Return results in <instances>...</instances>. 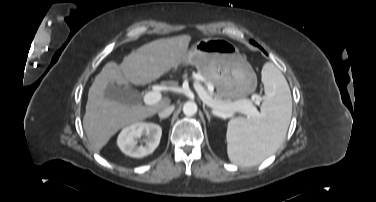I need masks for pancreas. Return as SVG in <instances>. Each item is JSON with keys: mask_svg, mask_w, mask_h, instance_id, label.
I'll use <instances>...</instances> for the list:
<instances>
[{"mask_svg": "<svg viewBox=\"0 0 376 202\" xmlns=\"http://www.w3.org/2000/svg\"><path fill=\"white\" fill-rule=\"evenodd\" d=\"M195 85H198L197 81H196ZM208 94H209V95H212V94L209 93V92H208ZM201 99L204 101L203 98H201ZM213 99H215L216 101H222V102L230 101V102H231L230 99L222 98L219 94H216V95L213 97ZM244 100H246V99H240L239 101H244ZM239 112L244 113L243 110H241V111H239ZM244 114H245V113H244Z\"/></svg>", "mask_w": 376, "mask_h": 202, "instance_id": "obj_1", "label": "pancreas"}]
</instances>
